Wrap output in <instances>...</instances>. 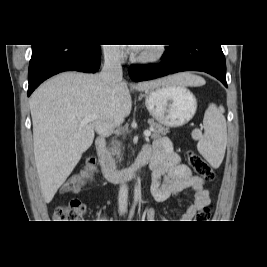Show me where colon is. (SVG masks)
<instances>
[{"label":"colon","mask_w":267,"mask_h":267,"mask_svg":"<svg viewBox=\"0 0 267 267\" xmlns=\"http://www.w3.org/2000/svg\"><path fill=\"white\" fill-rule=\"evenodd\" d=\"M188 162L191 168L201 176L205 181H212L214 179V172L210 165L196 153L189 151L187 154ZM95 170V162L92 157H88L84 162L83 170L80 175L66 183L65 188L71 190L77 180L88 179ZM85 213L84 204L78 199H72L65 205H60L54 210V220L59 223L77 222L83 217ZM211 217V210L204 207L198 214V222H208Z\"/></svg>","instance_id":"1"}]
</instances>
